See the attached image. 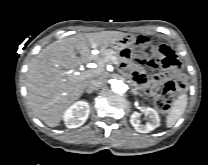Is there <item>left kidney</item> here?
Masks as SVG:
<instances>
[{
    "mask_svg": "<svg viewBox=\"0 0 208 165\" xmlns=\"http://www.w3.org/2000/svg\"><path fill=\"white\" fill-rule=\"evenodd\" d=\"M144 114L149 117L150 122L146 124H141L139 120L140 113L134 111L130 116V123L139 133H149L160 126V117L158 112L151 108L147 107L143 110Z\"/></svg>",
    "mask_w": 208,
    "mask_h": 165,
    "instance_id": "1",
    "label": "left kidney"
}]
</instances>
